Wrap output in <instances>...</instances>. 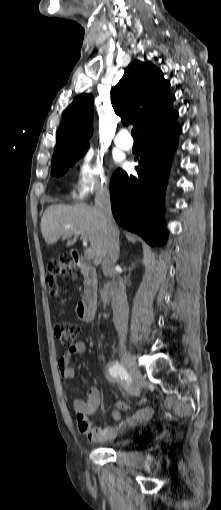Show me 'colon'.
<instances>
[{"label": "colon", "instance_id": "1", "mask_svg": "<svg viewBox=\"0 0 221 510\" xmlns=\"http://www.w3.org/2000/svg\"><path fill=\"white\" fill-rule=\"evenodd\" d=\"M48 271L50 274L49 284L51 287L56 284L58 277L67 274H76L73 259L69 255H63L59 259L51 261L48 265ZM53 293H55V290H53ZM54 334L64 346H72L80 334V327L78 324L70 321H57L54 324ZM79 429L81 431L80 427Z\"/></svg>", "mask_w": 221, "mask_h": 510}]
</instances>
